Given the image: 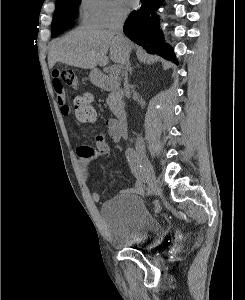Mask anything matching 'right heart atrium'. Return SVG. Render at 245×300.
I'll return each mask as SVG.
<instances>
[{
	"mask_svg": "<svg viewBox=\"0 0 245 300\" xmlns=\"http://www.w3.org/2000/svg\"><path fill=\"white\" fill-rule=\"evenodd\" d=\"M80 8L83 21L96 28H108L127 16L122 0H81Z\"/></svg>",
	"mask_w": 245,
	"mask_h": 300,
	"instance_id": "right-heart-atrium-1",
	"label": "right heart atrium"
}]
</instances>
